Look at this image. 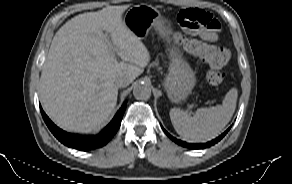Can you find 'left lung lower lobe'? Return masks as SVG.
I'll return each mask as SVG.
<instances>
[{"label":"left lung lower lobe","mask_w":292,"mask_h":184,"mask_svg":"<svg viewBox=\"0 0 292 184\" xmlns=\"http://www.w3.org/2000/svg\"><path fill=\"white\" fill-rule=\"evenodd\" d=\"M163 129V128H162ZM230 129V128H229ZM229 129H227L222 135H220L219 137H217L216 139L208 142V143H204V144H191V143H186V142H183V141H180L174 137H172L168 132H166L164 129L163 131L166 133V135L172 139L174 142H176L177 144L181 145V146H184V147H187V148H191V149H203V148H206V147H210L212 145H214L215 143H217L218 141H220L225 135L226 133L229 131Z\"/></svg>","instance_id":"1"}]
</instances>
